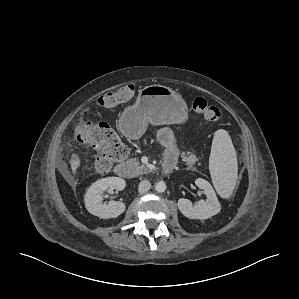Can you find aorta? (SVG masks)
Here are the masks:
<instances>
[{
  "mask_svg": "<svg viewBox=\"0 0 299 299\" xmlns=\"http://www.w3.org/2000/svg\"><path fill=\"white\" fill-rule=\"evenodd\" d=\"M155 189L157 192L162 193L166 190V184L163 181L157 182L155 185Z\"/></svg>",
  "mask_w": 299,
  "mask_h": 299,
  "instance_id": "obj_1",
  "label": "aorta"
}]
</instances>
